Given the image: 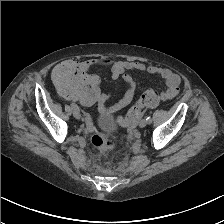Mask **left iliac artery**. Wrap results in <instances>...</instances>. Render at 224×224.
<instances>
[{
	"label": "left iliac artery",
	"mask_w": 224,
	"mask_h": 224,
	"mask_svg": "<svg viewBox=\"0 0 224 224\" xmlns=\"http://www.w3.org/2000/svg\"><path fill=\"white\" fill-rule=\"evenodd\" d=\"M146 121H147L148 124H151V123H152V119H151V117L148 116V117L146 118Z\"/></svg>",
	"instance_id": "obj_1"
}]
</instances>
